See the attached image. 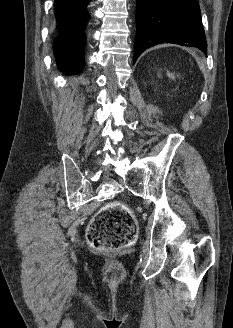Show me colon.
<instances>
[{"mask_svg": "<svg viewBox=\"0 0 233 328\" xmlns=\"http://www.w3.org/2000/svg\"><path fill=\"white\" fill-rule=\"evenodd\" d=\"M138 225L130 209L119 202L103 206L92 219L87 240L100 251H113L130 246L136 239Z\"/></svg>", "mask_w": 233, "mask_h": 328, "instance_id": "colon-1", "label": "colon"}]
</instances>
